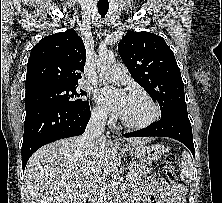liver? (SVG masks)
<instances>
[{"label": "liver", "mask_w": 222, "mask_h": 203, "mask_svg": "<svg viewBox=\"0 0 222 203\" xmlns=\"http://www.w3.org/2000/svg\"><path fill=\"white\" fill-rule=\"evenodd\" d=\"M150 138H129V147L143 146ZM121 163L110 140L87 148L82 136L57 140L37 150L24 171L31 203H85L96 180L109 176Z\"/></svg>", "instance_id": "obj_1"}]
</instances>
